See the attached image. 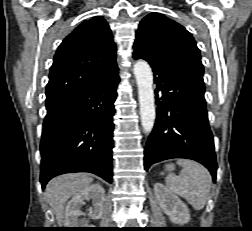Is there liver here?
<instances>
[{
    "instance_id": "liver-1",
    "label": "liver",
    "mask_w": 252,
    "mask_h": 231,
    "mask_svg": "<svg viewBox=\"0 0 252 231\" xmlns=\"http://www.w3.org/2000/svg\"><path fill=\"white\" fill-rule=\"evenodd\" d=\"M87 174H65L53 178L46 186L45 196L61 226L64 221V206L69 198L92 183Z\"/></svg>"
}]
</instances>
